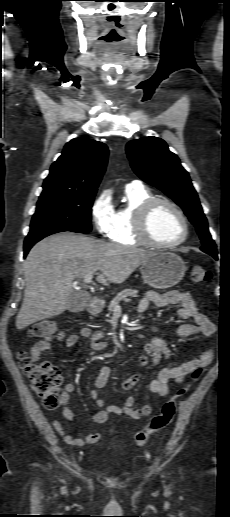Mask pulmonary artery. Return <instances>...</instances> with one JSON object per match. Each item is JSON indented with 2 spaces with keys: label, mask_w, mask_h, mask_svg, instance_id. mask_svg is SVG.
Returning a JSON list of instances; mask_svg holds the SVG:
<instances>
[{
  "label": "pulmonary artery",
  "mask_w": 230,
  "mask_h": 517,
  "mask_svg": "<svg viewBox=\"0 0 230 517\" xmlns=\"http://www.w3.org/2000/svg\"><path fill=\"white\" fill-rule=\"evenodd\" d=\"M142 183L138 180L132 181L128 184H126V188H133V187H141Z\"/></svg>",
  "instance_id": "e3ab8cb5"
}]
</instances>
